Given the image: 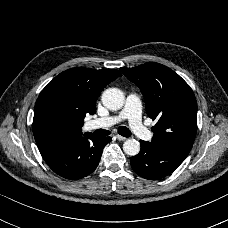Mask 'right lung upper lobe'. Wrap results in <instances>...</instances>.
<instances>
[{
  "label": "right lung upper lobe",
  "mask_w": 228,
  "mask_h": 228,
  "mask_svg": "<svg viewBox=\"0 0 228 228\" xmlns=\"http://www.w3.org/2000/svg\"><path fill=\"white\" fill-rule=\"evenodd\" d=\"M120 76L121 73L115 69L94 70L82 67L57 75L41 91L35 106L45 98L55 97L73 113V119L58 133L44 131L33 123L34 138L39 150L82 136L81 128L86 114L95 113L96 100L103 88Z\"/></svg>",
  "instance_id": "right-lung-upper-lobe-1"
}]
</instances>
